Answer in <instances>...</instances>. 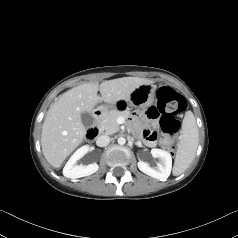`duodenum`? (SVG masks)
<instances>
[{
	"instance_id": "410a0bca",
	"label": "duodenum",
	"mask_w": 238,
	"mask_h": 238,
	"mask_svg": "<svg viewBox=\"0 0 238 238\" xmlns=\"http://www.w3.org/2000/svg\"><path fill=\"white\" fill-rule=\"evenodd\" d=\"M105 114V110L103 108H98L95 110L93 115V124L87 131V137L89 139H94L99 134L98 125Z\"/></svg>"
}]
</instances>
